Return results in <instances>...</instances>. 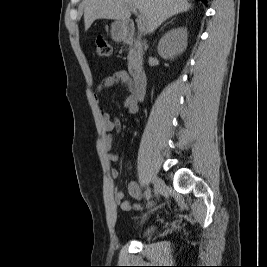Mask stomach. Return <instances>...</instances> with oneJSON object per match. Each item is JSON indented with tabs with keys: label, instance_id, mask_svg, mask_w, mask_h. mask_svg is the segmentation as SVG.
Listing matches in <instances>:
<instances>
[{
	"label": "stomach",
	"instance_id": "1",
	"mask_svg": "<svg viewBox=\"0 0 267 267\" xmlns=\"http://www.w3.org/2000/svg\"><path fill=\"white\" fill-rule=\"evenodd\" d=\"M127 25L125 21L117 20L111 24V36L114 41L120 42L125 39Z\"/></svg>",
	"mask_w": 267,
	"mask_h": 267
}]
</instances>
